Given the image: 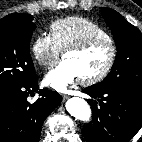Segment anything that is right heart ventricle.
<instances>
[{"label":"right heart ventricle","instance_id":"e07e8e85","mask_svg":"<svg viewBox=\"0 0 142 142\" xmlns=\"http://www.w3.org/2000/svg\"><path fill=\"white\" fill-rule=\"evenodd\" d=\"M49 35L60 51L91 36L109 37L101 25L83 16H69L53 21L49 26Z\"/></svg>","mask_w":142,"mask_h":142}]
</instances>
